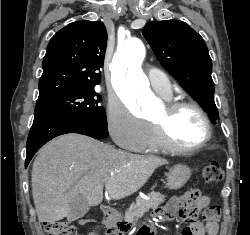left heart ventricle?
Returning <instances> with one entry per match:
<instances>
[{
    "label": "left heart ventricle",
    "instance_id": "1",
    "mask_svg": "<svg viewBox=\"0 0 250 235\" xmlns=\"http://www.w3.org/2000/svg\"><path fill=\"white\" fill-rule=\"evenodd\" d=\"M164 115L162 108L151 121H159ZM171 138L179 145L193 146L199 143L205 134V127L201 116L191 108L178 111L169 126Z\"/></svg>",
    "mask_w": 250,
    "mask_h": 235
}]
</instances>
